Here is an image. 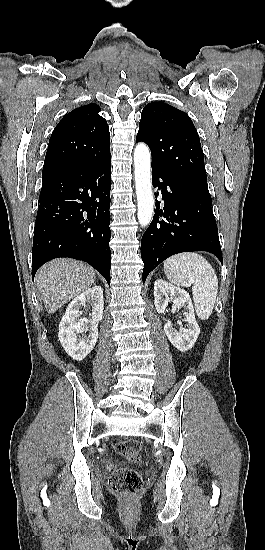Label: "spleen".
<instances>
[{"instance_id":"obj_1","label":"spleen","mask_w":265,"mask_h":550,"mask_svg":"<svg viewBox=\"0 0 265 550\" xmlns=\"http://www.w3.org/2000/svg\"><path fill=\"white\" fill-rule=\"evenodd\" d=\"M164 272L171 283L181 287L192 285L197 316L208 319L218 294V279L208 261L194 252L180 253L164 261Z\"/></svg>"}]
</instances>
